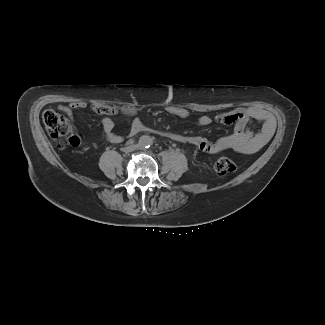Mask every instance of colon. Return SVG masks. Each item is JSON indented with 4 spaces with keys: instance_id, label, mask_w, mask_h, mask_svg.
Wrapping results in <instances>:
<instances>
[{
    "instance_id": "5ec220e1",
    "label": "colon",
    "mask_w": 325,
    "mask_h": 325,
    "mask_svg": "<svg viewBox=\"0 0 325 325\" xmlns=\"http://www.w3.org/2000/svg\"><path fill=\"white\" fill-rule=\"evenodd\" d=\"M42 120L45 128L54 138L58 139L64 137L70 132V124L66 117L53 109L44 111L42 114ZM66 142L70 145L76 146L78 144V139L76 136H70L66 139ZM213 168L218 175H226L234 172L236 170V165L231 159L221 157L214 162Z\"/></svg>"
}]
</instances>
